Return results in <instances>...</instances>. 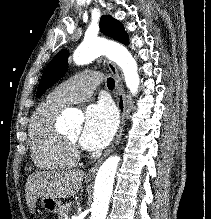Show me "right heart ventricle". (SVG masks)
Instances as JSON below:
<instances>
[{
	"instance_id": "e07e8e85",
	"label": "right heart ventricle",
	"mask_w": 211,
	"mask_h": 219,
	"mask_svg": "<svg viewBox=\"0 0 211 219\" xmlns=\"http://www.w3.org/2000/svg\"><path fill=\"white\" fill-rule=\"evenodd\" d=\"M64 106L47 99L32 115L29 126V144L34 164L43 170H59L75 165L74 157L56 129V119Z\"/></svg>"
}]
</instances>
